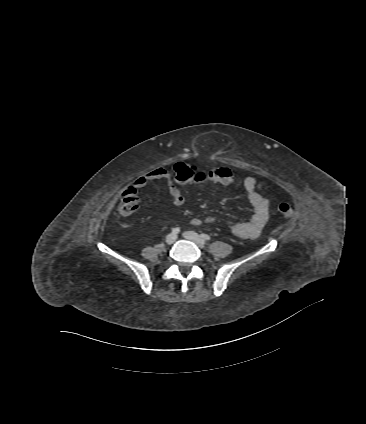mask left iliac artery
I'll list each match as a JSON object with an SVG mask.
<instances>
[{
	"mask_svg": "<svg viewBox=\"0 0 366 424\" xmlns=\"http://www.w3.org/2000/svg\"><path fill=\"white\" fill-rule=\"evenodd\" d=\"M201 237L204 239V240H210L211 238H210V236L209 235H207V234H201Z\"/></svg>",
	"mask_w": 366,
	"mask_h": 424,
	"instance_id": "1",
	"label": "left iliac artery"
}]
</instances>
